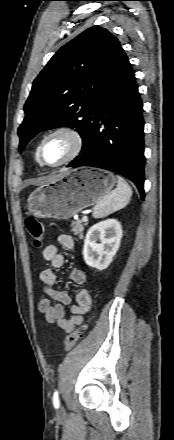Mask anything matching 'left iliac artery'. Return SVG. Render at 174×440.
I'll use <instances>...</instances> for the list:
<instances>
[{
    "instance_id": "obj_1",
    "label": "left iliac artery",
    "mask_w": 174,
    "mask_h": 440,
    "mask_svg": "<svg viewBox=\"0 0 174 440\" xmlns=\"http://www.w3.org/2000/svg\"><path fill=\"white\" fill-rule=\"evenodd\" d=\"M53 405L55 408L59 407V398H58V391L57 390L53 394Z\"/></svg>"
}]
</instances>
